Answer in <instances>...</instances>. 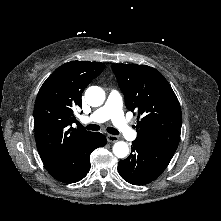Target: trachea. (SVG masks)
<instances>
[{"label":"trachea","mask_w":221,"mask_h":221,"mask_svg":"<svg viewBox=\"0 0 221 221\" xmlns=\"http://www.w3.org/2000/svg\"><path fill=\"white\" fill-rule=\"evenodd\" d=\"M78 126L83 127L80 123H78ZM85 128L88 130H92V131L100 130V126H98L96 124L87 125ZM106 130L108 133L113 134V135L119 134V132L115 128H112V127H107Z\"/></svg>","instance_id":"1"}]
</instances>
